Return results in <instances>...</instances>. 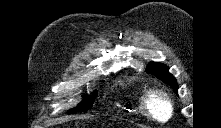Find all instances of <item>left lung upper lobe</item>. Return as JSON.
I'll return each mask as SVG.
<instances>
[{
	"label": "left lung upper lobe",
	"instance_id": "5c2ea615",
	"mask_svg": "<svg viewBox=\"0 0 221 128\" xmlns=\"http://www.w3.org/2000/svg\"><path fill=\"white\" fill-rule=\"evenodd\" d=\"M168 67L160 63H150L146 69V72L151 73L163 82L169 84L173 90L177 93L178 84L176 79L168 72Z\"/></svg>",
	"mask_w": 221,
	"mask_h": 128
}]
</instances>
